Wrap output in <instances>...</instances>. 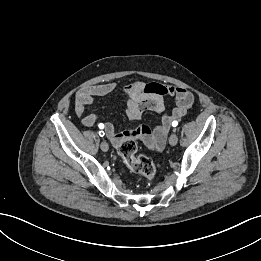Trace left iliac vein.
I'll list each match as a JSON object with an SVG mask.
<instances>
[{
  "instance_id": "obj_1",
  "label": "left iliac vein",
  "mask_w": 261,
  "mask_h": 261,
  "mask_svg": "<svg viewBox=\"0 0 261 261\" xmlns=\"http://www.w3.org/2000/svg\"><path fill=\"white\" fill-rule=\"evenodd\" d=\"M178 142V137L175 133L171 134L170 137H169V143L170 145L172 146H175Z\"/></svg>"
}]
</instances>
